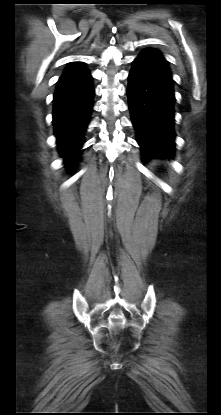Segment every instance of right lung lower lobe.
<instances>
[{"label": "right lung lower lobe", "instance_id": "98d812e1", "mask_svg": "<svg viewBox=\"0 0 221 415\" xmlns=\"http://www.w3.org/2000/svg\"><path fill=\"white\" fill-rule=\"evenodd\" d=\"M92 76L82 63L70 64L57 82L53 98L54 135L68 168L75 166L93 108Z\"/></svg>", "mask_w": 221, "mask_h": 415}]
</instances>
